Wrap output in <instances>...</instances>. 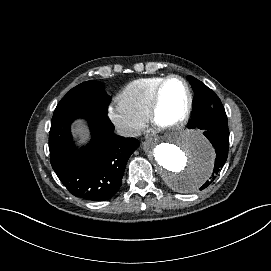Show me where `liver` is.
Segmentation results:
<instances>
[{
	"instance_id": "liver-1",
	"label": "liver",
	"mask_w": 271,
	"mask_h": 271,
	"mask_svg": "<svg viewBox=\"0 0 271 271\" xmlns=\"http://www.w3.org/2000/svg\"><path fill=\"white\" fill-rule=\"evenodd\" d=\"M72 133L75 138L79 137V144L89 140V129L83 120H77L72 125Z\"/></svg>"
}]
</instances>
